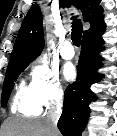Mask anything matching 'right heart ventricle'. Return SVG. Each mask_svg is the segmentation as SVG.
Listing matches in <instances>:
<instances>
[{
	"label": "right heart ventricle",
	"instance_id": "obj_1",
	"mask_svg": "<svg viewBox=\"0 0 117 136\" xmlns=\"http://www.w3.org/2000/svg\"><path fill=\"white\" fill-rule=\"evenodd\" d=\"M12 109L25 116H38L41 113V107L35 102L24 83H20L15 92Z\"/></svg>",
	"mask_w": 117,
	"mask_h": 136
}]
</instances>
